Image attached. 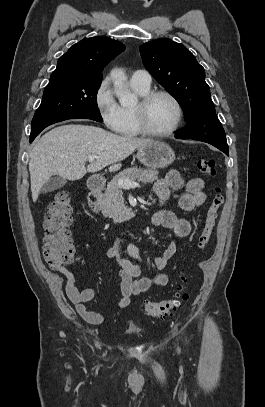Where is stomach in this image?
Wrapping results in <instances>:
<instances>
[{"label":"stomach","mask_w":265,"mask_h":407,"mask_svg":"<svg viewBox=\"0 0 265 407\" xmlns=\"http://www.w3.org/2000/svg\"><path fill=\"white\" fill-rule=\"evenodd\" d=\"M137 159L150 169H160L171 165L175 160V154L168 144L151 141L138 148Z\"/></svg>","instance_id":"0dacf381"}]
</instances>
